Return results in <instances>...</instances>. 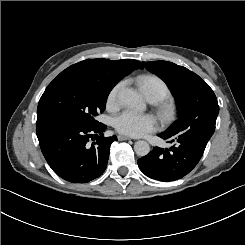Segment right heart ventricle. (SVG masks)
<instances>
[{"label": "right heart ventricle", "instance_id": "right-heart-ventricle-1", "mask_svg": "<svg viewBox=\"0 0 245 245\" xmlns=\"http://www.w3.org/2000/svg\"><path fill=\"white\" fill-rule=\"evenodd\" d=\"M140 87L146 96L152 97L155 100H162L170 95V91L166 83L156 76H143L140 82Z\"/></svg>", "mask_w": 245, "mask_h": 245}]
</instances>
